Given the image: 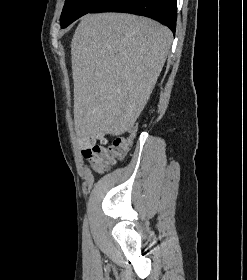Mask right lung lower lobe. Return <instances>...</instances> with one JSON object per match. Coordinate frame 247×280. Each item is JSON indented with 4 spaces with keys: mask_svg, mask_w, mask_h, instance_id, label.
Here are the masks:
<instances>
[{
    "mask_svg": "<svg viewBox=\"0 0 247 280\" xmlns=\"http://www.w3.org/2000/svg\"><path fill=\"white\" fill-rule=\"evenodd\" d=\"M176 2L177 0H103L91 12H126L146 16L168 26L175 33Z\"/></svg>",
    "mask_w": 247,
    "mask_h": 280,
    "instance_id": "right-lung-lower-lobe-1",
    "label": "right lung lower lobe"
}]
</instances>
